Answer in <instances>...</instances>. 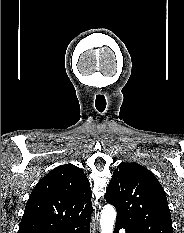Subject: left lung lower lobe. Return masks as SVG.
Masks as SVG:
<instances>
[{"label": "left lung lower lobe", "mask_w": 184, "mask_h": 233, "mask_svg": "<svg viewBox=\"0 0 184 233\" xmlns=\"http://www.w3.org/2000/svg\"><path fill=\"white\" fill-rule=\"evenodd\" d=\"M115 227H116V230L114 231V233H118L119 229H121V228L125 229L126 233H132L129 229H127L125 227V225L121 221L116 220V226Z\"/></svg>", "instance_id": "1"}]
</instances>
